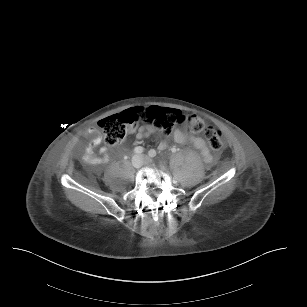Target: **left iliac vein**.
Returning <instances> with one entry per match:
<instances>
[{
	"label": "left iliac vein",
	"instance_id": "left-iliac-vein-1",
	"mask_svg": "<svg viewBox=\"0 0 307 307\" xmlns=\"http://www.w3.org/2000/svg\"><path fill=\"white\" fill-rule=\"evenodd\" d=\"M140 158L142 159V161H144L147 164L151 162V160H148V158L144 155H141Z\"/></svg>",
	"mask_w": 307,
	"mask_h": 307
}]
</instances>
